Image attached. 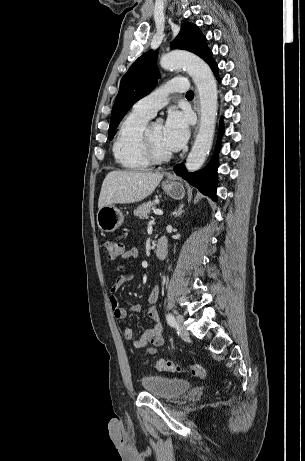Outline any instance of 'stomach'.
<instances>
[{
  "mask_svg": "<svg viewBox=\"0 0 305 461\" xmlns=\"http://www.w3.org/2000/svg\"><path fill=\"white\" fill-rule=\"evenodd\" d=\"M162 189L176 200H180L185 196L184 186L175 180L164 181ZM123 221L122 212L114 205L104 206L97 212V225L104 232H114L123 224Z\"/></svg>",
  "mask_w": 305,
  "mask_h": 461,
  "instance_id": "obj_1",
  "label": "stomach"
}]
</instances>
